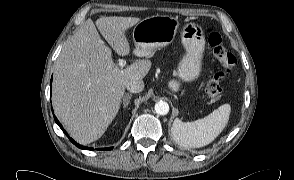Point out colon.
<instances>
[{
  "label": "colon",
  "instance_id": "colon-1",
  "mask_svg": "<svg viewBox=\"0 0 294 180\" xmlns=\"http://www.w3.org/2000/svg\"><path fill=\"white\" fill-rule=\"evenodd\" d=\"M207 42L213 56L222 66L220 70L211 76L205 85L207 97L211 100H215L221 92L220 82L232 72L236 65V58L223 46L221 36L215 31H207Z\"/></svg>",
  "mask_w": 294,
  "mask_h": 180
}]
</instances>
